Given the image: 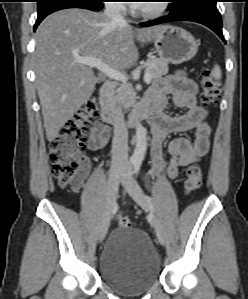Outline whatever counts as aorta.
<instances>
[{
  "label": "aorta",
  "mask_w": 248,
  "mask_h": 299,
  "mask_svg": "<svg viewBox=\"0 0 248 299\" xmlns=\"http://www.w3.org/2000/svg\"><path fill=\"white\" fill-rule=\"evenodd\" d=\"M136 148L132 155V161L134 162H142L147 149V138H146V130L145 128L138 123L136 125Z\"/></svg>",
  "instance_id": "1"
}]
</instances>
